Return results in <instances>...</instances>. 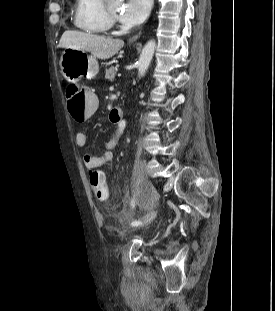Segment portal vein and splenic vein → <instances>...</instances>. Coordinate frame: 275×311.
Instances as JSON below:
<instances>
[{"mask_svg": "<svg viewBox=\"0 0 275 311\" xmlns=\"http://www.w3.org/2000/svg\"><path fill=\"white\" fill-rule=\"evenodd\" d=\"M120 76H121V74L119 73V74H118V77H120Z\"/></svg>", "mask_w": 275, "mask_h": 311, "instance_id": "1", "label": "portal vein and splenic vein"}]
</instances>
